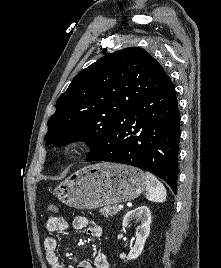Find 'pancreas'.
<instances>
[{
  "label": "pancreas",
  "instance_id": "cf45deb5",
  "mask_svg": "<svg viewBox=\"0 0 221 268\" xmlns=\"http://www.w3.org/2000/svg\"><path fill=\"white\" fill-rule=\"evenodd\" d=\"M119 211L120 210L118 209V207L116 205L106 206V207L100 209L101 214L107 218L116 215Z\"/></svg>",
  "mask_w": 221,
  "mask_h": 268
}]
</instances>
